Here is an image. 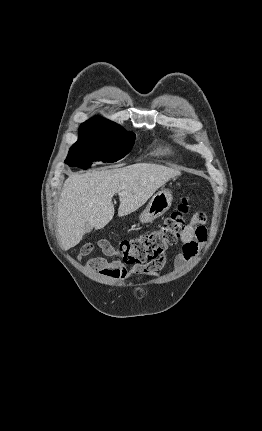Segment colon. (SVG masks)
I'll return each mask as SVG.
<instances>
[{"instance_id": "5ec220e1", "label": "colon", "mask_w": 262, "mask_h": 431, "mask_svg": "<svg viewBox=\"0 0 262 431\" xmlns=\"http://www.w3.org/2000/svg\"><path fill=\"white\" fill-rule=\"evenodd\" d=\"M191 205V199L184 197L178 208L159 228L142 232L132 239L118 243L101 239L96 242V246L120 264H142L156 260L164 256L168 247L175 244L183 233L190 216ZM197 216L202 223L205 222L204 214L198 213ZM93 248V244H87L81 249V254L87 255Z\"/></svg>"}]
</instances>
